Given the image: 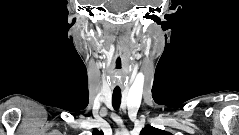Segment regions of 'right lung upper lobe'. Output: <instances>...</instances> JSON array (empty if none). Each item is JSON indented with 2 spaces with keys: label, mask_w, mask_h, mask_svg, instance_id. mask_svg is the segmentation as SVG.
Returning <instances> with one entry per match:
<instances>
[{
  "label": "right lung upper lobe",
  "mask_w": 239,
  "mask_h": 135,
  "mask_svg": "<svg viewBox=\"0 0 239 135\" xmlns=\"http://www.w3.org/2000/svg\"><path fill=\"white\" fill-rule=\"evenodd\" d=\"M93 135H103V132H102V131H99V130H97V129H94Z\"/></svg>",
  "instance_id": "obj_1"
}]
</instances>
